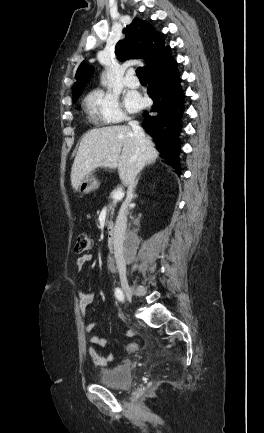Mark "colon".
Masks as SVG:
<instances>
[{
  "instance_id": "colon-1",
  "label": "colon",
  "mask_w": 264,
  "mask_h": 433,
  "mask_svg": "<svg viewBox=\"0 0 264 433\" xmlns=\"http://www.w3.org/2000/svg\"><path fill=\"white\" fill-rule=\"evenodd\" d=\"M93 248V241L88 233L82 232L77 236L75 243V252L78 254H87ZM137 348L135 343L128 345V350L132 351Z\"/></svg>"
}]
</instances>
